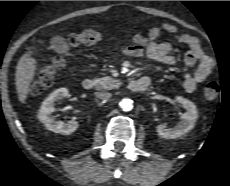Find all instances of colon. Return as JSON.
<instances>
[{"mask_svg": "<svg viewBox=\"0 0 230 186\" xmlns=\"http://www.w3.org/2000/svg\"><path fill=\"white\" fill-rule=\"evenodd\" d=\"M103 39V34L94 29H84L71 35L67 44L69 46L93 45ZM64 66V59L61 56H54L49 64L35 70L34 78L31 83L30 91L33 96H39L50 86L54 72ZM220 86L217 81H209L204 87V97L207 101H215L219 95Z\"/></svg>", "mask_w": 230, "mask_h": 186, "instance_id": "5ec220e1", "label": "colon"}]
</instances>
